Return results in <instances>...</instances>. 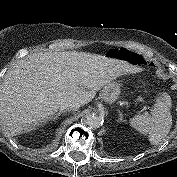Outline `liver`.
Returning <instances> with one entry per match:
<instances>
[{
  "instance_id": "1",
  "label": "liver",
  "mask_w": 177,
  "mask_h": 177,
  "mask_svg": "<svg viewBox=\"0 0 177 177\" xmlns=\"http://www.w3.org/2000/svg\"><path fill=\"white\" fill-rule=\"evenodd\" d=\"M139 71L126 61L85 52L27 55L7 71L0 87L3 131L8 136L29 132L53 116L61 104L85 105L117 77Z\"/></svg>"
}]
</instances>
